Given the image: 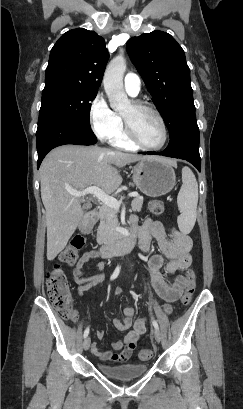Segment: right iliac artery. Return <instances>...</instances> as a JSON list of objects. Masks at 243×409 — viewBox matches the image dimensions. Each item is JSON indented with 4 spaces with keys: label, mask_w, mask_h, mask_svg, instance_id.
I'll use <instances>...</instances> for the list:
<instances>
[{
    "label": "right iliac artery",
    "mask_w": 243,
    "mask_h": 409,
    "mask_svg": "<svg viewBox=\"0 0 243 409\" xmlns=\"http://www.w3.org/2000/svg\"><path fill=\"white\" fill-rule=\"evenodd\" d=\"M120 268H121L120 265H118L116 267L115 271L113 272V274L110 277L111 280H114L119 275ZM88 334H89V327H87L85 329V331H84V338H86L88 336Z\"/></svg>",
    "instance_id": "right-iliac-artery-1"
}]
</instances>
